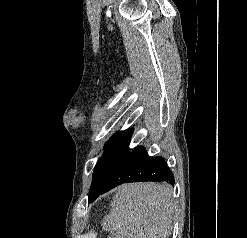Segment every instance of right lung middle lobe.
Returning <instances> with one entry per match:
<instances>
[{"mask_svg": "<svg viewBox=\"0 0 247 238\" xmlns=\"http://www.w3.org/2000/svg\"><path fill=\"white\" fill-rule=\"evenodd\" d=\"M133 129H128L114 135L104 147V153L99 159L89 192V201L98 197L109 182L115 168L129 150Z\"/></svg>", "mask_w": 247, "mask_h": 238, "instance_id": "1", "label": "right lung middle lobe"}]
</instances>
